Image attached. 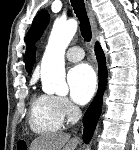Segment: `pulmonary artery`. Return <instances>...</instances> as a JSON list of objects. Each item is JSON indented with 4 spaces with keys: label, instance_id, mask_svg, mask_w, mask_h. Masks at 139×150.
<instances>
[{
    "label": "pulmonary artery",
    "instance_id": "1",
    "mask_svg": "<svg viewBox=\"0 0 139 150\" xmlns=\"http://www.w3.org/2000/svg\"><path fill=\"white\" fill-rule=\"evenodd\" d=\"M66 58L71 62H77L84 58V51L79 46H74L68 49Z\"/></svg>",
    "mask_w": 139,
    "mask_h": 150
}]
</instances>
